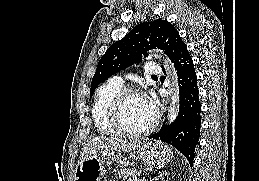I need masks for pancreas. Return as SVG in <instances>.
<instances>
[{
	"label": "pancreas",
	"mask_w": 259,
	"mask_h": 181,
	"mask_svg": "<svg viewBox=\"0 0 259 181\" xmlns=\"http://www.w3.org/2000/svg\"><path fill=\"white\" fill-rule=\"evenodd\" d=\"M140 173L139 170L134 168H121L116 171L115 175L118 176L123 181L127 180L129 177H135Z\"/></svg>",
	"instance_id": "pancreas-1"
}]
</instances>
